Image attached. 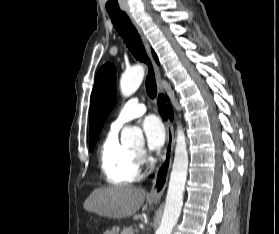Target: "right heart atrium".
Instances as JSON below:
<instances>
[{"mask_svg": "<svg viewBox=\"0 0 279 234\" xmlns=\"http://www.w3.org/2000/svg\"><path fill=\"white\" fill-rule=\"evenodd\" d=\"M139 159L141 163H144L146 161V158L143 154L139 155Z\"/></svg>", "mask_w": 279, "mask_h": 234, "instance_id": "1", "label": "right heart atrium"}]
</instances>
